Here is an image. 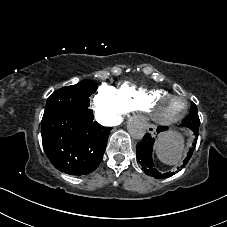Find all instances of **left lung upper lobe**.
I'll list each match as a JSON object with an SVG mask.
<instances>
[{
  "label": "left lung upper lobe",
  "instance_id": "left-lung-upper-lobe-1",
  "mask_svg": "<svg viewBox=\"0 0 227 227\" xmlns=\"http://www.w3.org/2000/svg\"><path fill=\"white\" fill-rule=\"evenodd\" d=\"M199 124H200V120L198 116L197 107L194 103H192L190 112L188 116L183 120L182 126L199 129Z\"/></svg>",
  "mask_w": 227,
  "mask_h": 227
}]
</instances>
